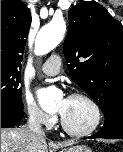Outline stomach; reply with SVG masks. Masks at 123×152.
<instances>
[{
    "instance_id": "0dacf381",
    "label": "stomach",
    "mask_w": 123,
    "mask_h": 152,
    "mask_svg": "<svg viewBox=\"0 0 123 152\" xmlns=\"http://www.w3.org/2000/svg\"><path fill=\"white\" fill-rule=\"evenodd\" d=\"M62 152H92V150L85 145H77L64 149Z\"/></svg>"
}]
</instances>
